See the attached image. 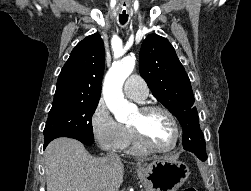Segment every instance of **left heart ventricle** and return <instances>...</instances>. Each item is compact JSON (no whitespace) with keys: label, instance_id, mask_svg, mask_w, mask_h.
<instances>
[{"label":"left heart ventricle","instance_id":"b2bd125f","mask_svg":"<svg viewBox=\"0 0 251 191\" xmlns=\"http://www.w3.org/2000/svg\"><path fill=\"white\" fill-rule=\"evenodd\" d=\"M131 125L141 126L148 141L157 149L169 150L176 142V132L171 119L161 111L145 114L138 110Z\"/></svg>","mask_w":251,"mask_h":191}]
</instances>
